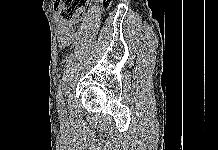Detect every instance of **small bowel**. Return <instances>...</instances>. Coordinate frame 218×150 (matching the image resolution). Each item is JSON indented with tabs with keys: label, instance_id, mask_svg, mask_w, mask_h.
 I'll return each instance as SVG.
<instances>
[{
	"label": "small bowel",
	"instance_id": "small-bowel-1",
	"mask_svg": "<svg viewBox=\"0 0 218 150\" xmlns=\"http://www.w3.org/2000/svg\"><path fill=\"white\" fill-rule=\"evenodd\" d=\"M58 21V41L62 47H67L75 41L76 34L71 29L69 22L62 18H57Z\"/></svg>",
	"mask_w": 218,
	"mask_h": 150
}]
</instances>
